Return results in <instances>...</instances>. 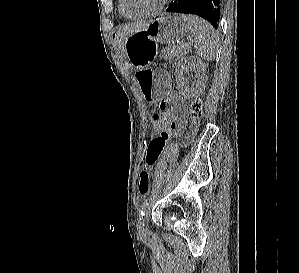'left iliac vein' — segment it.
Instances as JSON below:
<instances>
[{"label":"left iliac vein","instance_id":"4c4485c4","mask_svg":"<svg viewBox=\"0 0 299 273\" xmlns=\"http://www.w3.org/2000/svg\"><path fill=\"white\" fill-rule=\"evenodd\" d=\"M138 231H139V234L141 236H145L146 233H147V230H146V227H145L144 218L141 217L140 215H139V218H138Z\"/></svg>","mask_w":299,"mask_h":273}]
</instances>
